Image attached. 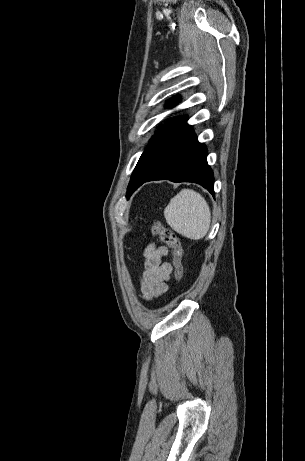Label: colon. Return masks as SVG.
<instances>
[{"label":"colon","mask_w":305,"mask_h":461,"mask_svg":"<svg viewBox=\"0 0 305 461\" xmlns=\"http://www.w3.org/2000/svg\"><path fill=\"white\" fill-rule=\"evenodd\" d=\"M151 232L153 235L159 236L162 242L172 249L175 278L178 282H180L184 276V264L183 248L178 236L158 222H154L152 224Z\"/></svg>","instance_id":"1"}]
</instances>
